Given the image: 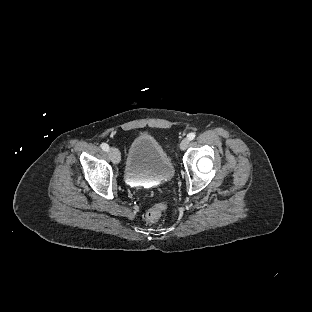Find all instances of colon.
Wrapping results in <instances>:
<instances>
[{
    "instance_id": "obj_1",
    "label": "colon",
    "mask_w": 312,
    "mask_h": 312,
    "mask_svg": "<svg viewBox=\"0 0 312 312\" xmlns=\"http://www.w3.org/2000/svg\"><path fill=\"white\" fill-rule=\"evenodd\" d=\"M158 216H159V210L157 207H152L146 212V219L149 222L157 221Z\"/></svg>"
}]
</instances>
